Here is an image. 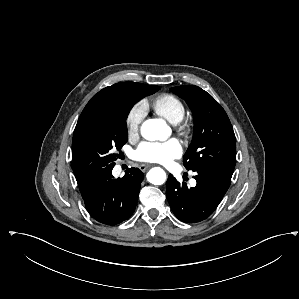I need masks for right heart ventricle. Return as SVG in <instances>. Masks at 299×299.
Segmentation results:
<instances>
[{
    "label": "right heart ventricle",
    "mask_w": 299,
    "mask_h": 299,
    "mask_svg": "<svg viewBox=\"0 0 299 299\" xmlns=\"http://www.w3.org/2000/svg\"><path fill=\"white\" fill-rule=\"evenodd\" d=\"M154 111L172 124L180 122L185 115V106L180 98L170 93H163L152 100Z\"/></svg>",
    "instance_id": "1"
}]
</instances>
